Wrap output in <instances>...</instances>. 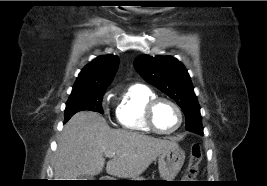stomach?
I'll return each mask as SVG.
<instances>
[{
    "label": "stomach",
    "mask_w": 267,
    "mask_h": 186,
    "mask_svg": "<svg viewBox=\"0 0 267 186\" xmlns=\"http://www.w3.org/2000/svg\"><path fill=\"white\" fill-rule=\"evenodd\" d=\"M185 153L179 146L170 148L159 155L158 169L162 181H173L181 170Z\"/></svg>",
    "instance_id": "1"
}]
</instances>
